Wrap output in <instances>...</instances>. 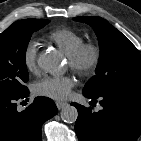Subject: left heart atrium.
<instances>
[{
	"label": "left heart atrium",
	"instance_id": "obj_1",
	"mask_svg": "<svg viewBox=\"0 0 141 141\" xmlns=\"http://www.w3.org/2000/svg\"><path fill=\"white\" fill-rule=\"evenodd\" d=\"M74 86L70 77L44 76L33 84V92L55 100L66 99Z\"/></svg>",
	"mask_w": 141,
	"mask_h": 141
}]
</instances>
